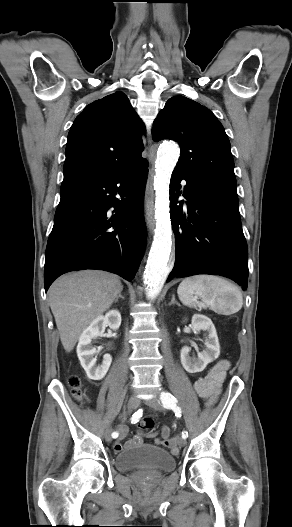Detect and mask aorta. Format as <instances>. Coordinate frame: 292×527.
I'll return each mask as SVG.
<instances>
[{
  "label": "aorta",
  "mask_w": 292,
  "mask_h": 527,
  "mask_svg": "<svg viewBox=\"0 0 292 527\" xmlns=\"http://www.w3.org/2000/svg\"><path fill=\"white\" fill-rule=\"evenodd\" d=\"M179 153L175 143H165L157 152L154 177L156 228L144 272L146 295L150 299L159 295L170 271L168 261L172 246V230L169 214V183Z\"/></svg>",
  "instance_id": "1"
}]
</instances>
